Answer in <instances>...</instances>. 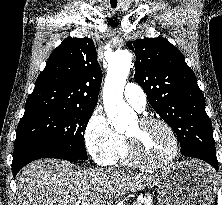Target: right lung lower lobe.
I'll return each mask as SVG.
<instances>
[{
    "instance_id": "obj_1",
    "label": "right lung lower lobe",
    "mask_w": 222,
    "mask_h": 205,
    "mask_svg": "<svg viewBox=\"0 0 222 205\" xmlns=\"http://www.w3.org/2000/svg\"><path fill=\"white\" fill-rule=\"evenodd\" d=\"M40 158H58L71 162L83 161L71 156L67 151L49 143L40 141H26L14 144L12 172L16 173L26 164Z\"/></svg>"
}]
</instances>
